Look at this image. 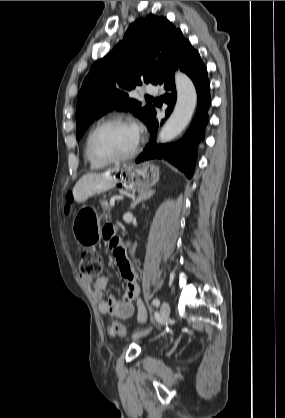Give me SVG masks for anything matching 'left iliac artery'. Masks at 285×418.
I'll use <instances>...</instances> for the list:
<instances>
[{
	"label": "left iliac artery",
	"mask_w": 285,
	"mask_h": 418,
	"mask_svg": "<svg viewBox=\"0 0 285 418\" xmlns=\"http://www.w3.org/2000/svg\"><path fill=\"white\" fill-rule=\"evenodd\" d=\"M152 304H153L154 306L158 307V306L160 305V301H159V299L154 298V299H153V301H152Z\"/></svg>",
	"instance_id": "44dca946"
}]
</instances>
